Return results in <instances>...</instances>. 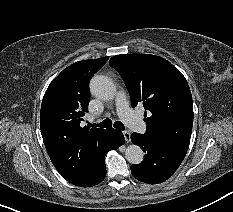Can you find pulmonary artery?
<instances>
[{
	"label": "pulmonary artery",
	"mask_w": 233,
	"mask_h": 212,
	"mask_svg": "<svg viewBox=\"0 0 233 212\" xmlns=\"http://www.w3.org/2000/svg\"><path fill=\"white\" fill-rule=\"evenodd\" d=\"M117 111L121 119L134 131L144 133L145 123L130 108L126 95L119 92L116 96Z\"/></svg>",
	"instance_id": "e3ab8cb5"
}]
</instances>
